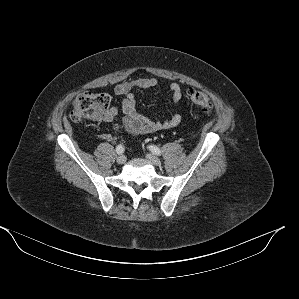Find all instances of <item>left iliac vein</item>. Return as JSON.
Returning <instances> with one entry per match:
<instances>
[{
	"mask_svg": "<svg viewBox=\"0 0 299 299\" xmlns=\"http://www.w3.org/2000/svg\"><path fill=\"white\" fill-rule=\"evenodd\" d=\"M146 158H147L148 161H150L155 166H160L161 165V161L156 156H154L153 154H150V153L147 154Z\"/></svg>",
	"mask_w": 299,
	"mask_h": 299,
	"instance_id": "left-iliac-vein-1",
	"label": "left iliac vein"
}]
</instances>
